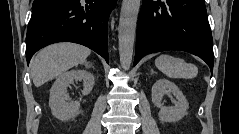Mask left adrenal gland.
<instances>
[{
  "label": "left adrenal gland",
  "mask_w": 239,
  "mask_h": 134,
  "mask_svg": "<svg viewBox=\"0 0 239 134\" xmlns=\"http://www.w3.org/2000/svg\"><path fill=\"white\" fill-rule=\"evenodd\" d=\"M155 73L153 69H151V74Z\"/></svg>",
  "instance_id": "left-adrenal-gland-1"
}]
</instances>
